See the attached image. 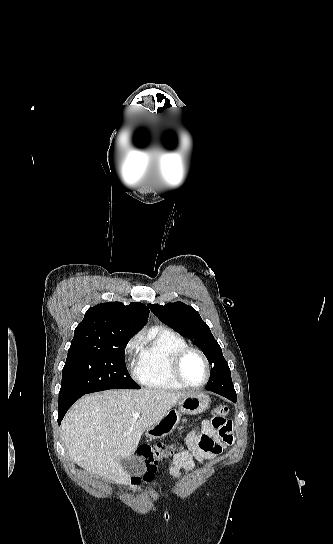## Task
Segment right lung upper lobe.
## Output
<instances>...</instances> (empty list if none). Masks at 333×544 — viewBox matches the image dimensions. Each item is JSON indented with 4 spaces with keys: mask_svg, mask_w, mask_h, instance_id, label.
Instances as JSON below:
<instances>
[{
    "mask_svg": "<svg viewBox=\"0 0 333 544\" xmlns=\"http://www.w3.org/2000/svg\"><path fill=\"white\" fill-rule=\"evenodd\" d=\"M148 316V307L140 302L98 304L85 313L69 349L105 348L117 338L132 337L144 327Z\"/></svg>",
    "mask_w": 333,
    "mask_h": 544,
    "instance_id": "right-lung-upper-lobe-1",
    "label": "right lung upper lobe"
}]
</instances>
